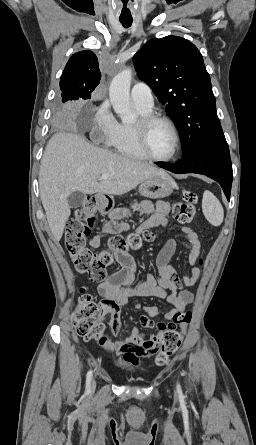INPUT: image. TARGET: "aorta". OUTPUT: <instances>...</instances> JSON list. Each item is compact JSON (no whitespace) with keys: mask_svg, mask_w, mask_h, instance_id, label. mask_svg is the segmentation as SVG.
I'll return each instance as SVG.
<instances>
[{"mask_svg":"<svg viewBox=\"0 0 256 445\" xmlns=\"http://www.w3.org/2000/svg\"><path fill=\"white\" fill-rule=\"evenodd\" d=\"M131 79L132 70L126 68L113 78L109 87L110 102L115 113L124 123L132 122L136 118L130 105Z\"/></svg>","mask_w":256,"mask_h":445,"instance_id":"obj_1","label":"aorta"}]
</instances>
